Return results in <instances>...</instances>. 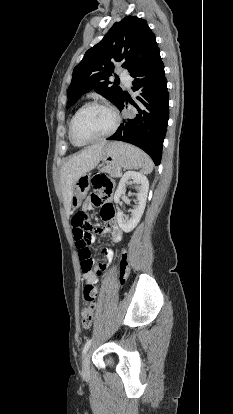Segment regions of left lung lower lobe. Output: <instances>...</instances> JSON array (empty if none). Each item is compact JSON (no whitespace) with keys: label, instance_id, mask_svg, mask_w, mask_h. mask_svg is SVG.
<instances>
[{"label":"left lung lower lobe","instance_id":"0a47b994","mask_svg":"<svg viewBox=\"0 0 233 414\" xmlns=\"http://www.w3.org/2000/svg\"><path fill=\"white\" fill-rule=\"evenodd\" d=\"M132 77L135 78L132 90L137 91L138 96L135 102H129L138 113L124 121L108 140L124 141L141 148L157 166L161 161L169 119V94L160 50ZM124 101L125 97L117 106L120 111L125 107Z\"/></svg>","mask_w":233,"mask_h":414}]
</instances>
